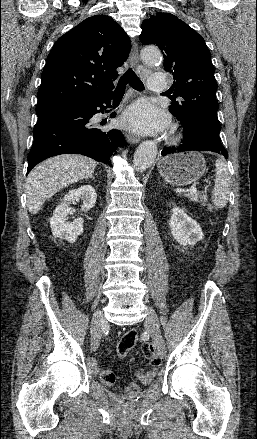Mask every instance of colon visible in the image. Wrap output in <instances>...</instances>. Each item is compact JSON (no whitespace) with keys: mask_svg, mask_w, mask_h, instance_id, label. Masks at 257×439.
Instances as JSON below:
<instances>
[{"mask_svg":"<svg viewBox=\"0 0 257 439\" xmlns=\"http://www.w3.org/2000/svg\"><path fill=\"white\" fill-rule=\"evenodd\" d=\"M138 341V332L135 329L126 331L118 341L117 354L120 358H125L128 353L136 346ZM143 354L150 359L153 366H158L160 360L157 358L155 348L152 344L146 343L142 346ZM91 368L97 374L100 380L106 385H112L115 382V375L108 370H101L96 363L91 364ZM127 392H136L138 386L135 383L127 382L124 385Z\"/></svg>","mask_w":257,"mask_h":439,"instance_id":"1","label":"colon"}]
</instances>
